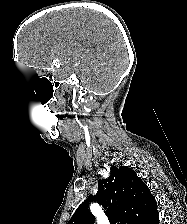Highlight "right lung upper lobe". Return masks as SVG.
Returning <instances> with one entry per match:
<instances>
[{
    "instance_id": "right-lung-upper-lobe-1",
    "label": "right lung upper lobe",
    "mask_w": 187,
    "mask_h": 224,
    "mask_svg": "<svg viewBox=\"0 0 187 224\" xmlns=\"http://www.w3.org/2000/svg\"><path fill=\"white\" fill-rule=\"evenodd\" d=\"M108 179L98 182V192L78 206L68 224H92L89 200L97 201L113 224H135L156 210V201L146 184L132 169L112 166Z\"/></svg>"
}]
</instances>
